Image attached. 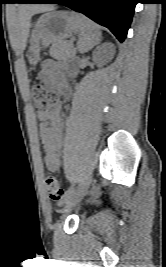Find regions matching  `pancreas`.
Instances as JSON below:
<instances>
[{
	"label": "pancreas",
	"instance_id": "obj_1",
	"mask_svg": "<svg viewBox=\"0 0 166 267\" xmlns=\"http://www.w3.org/2000/svg\"><path fill=\"white\" fill-rule=\"evenodd\" d=\"M50 55L57 60L73 58L75 49L65 41H57L50 48Z\"/></svg>",
	"mask_w": 166,
	"mask_h": 267
}]
</instances>
